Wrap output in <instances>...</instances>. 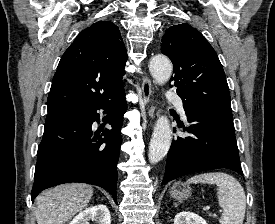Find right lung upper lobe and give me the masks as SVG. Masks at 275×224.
Here are the masks:
<instances>
[{
	"mask_svg": "<svg viewBox=\"0 0 275 224\" xmlns=\"http://www.w3.org/2000/svg\"><path fill=\"white\" fill-rule=\"evenodd\" d=\"M127 53L119 29L99 21L84 29L63 54L47 99L48 112L83 109L122 91Z\"/></svg>",
	"mask_w": 275,
	"mask_h": 224,
	"instance_id": "1",
	"label": "right lung upper lobe"
}]
</instances>
